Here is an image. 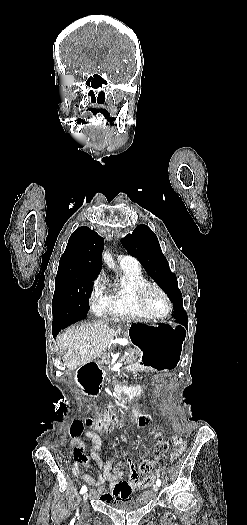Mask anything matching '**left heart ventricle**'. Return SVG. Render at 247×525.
<instances>
[{"mask_svg":"<svg viewBox=\"0 0 247 525\" xmlns=\"http://www.w3.org/2000/svg\"><path fill=\"white\" fill-rule=\"evenodd\" d=\"M144 305L155 313L163 312L167 307V302L163 295L155 288H146L142 294Z\"/></svg>","mask_w":247,"mask_h":525,"instance_id":"left-heart-ventricle-1","label":"left heart ventricle"}]
</instances>
